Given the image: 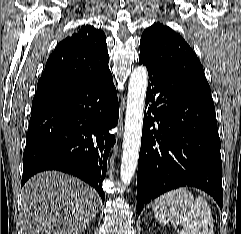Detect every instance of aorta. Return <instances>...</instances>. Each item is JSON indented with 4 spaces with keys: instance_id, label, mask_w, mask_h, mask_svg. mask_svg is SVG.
<instances>
[{
    "instance_id": "aorta-1",
    "label": "aorta",
    "mask_w": 241,
    "mask_h": 234,
    "mask_svg": "<svg viewBox=\"0 0 241 234\" xmlns=\"http://www.w3.org/2000/svg\"><path fill=\"white\" fill-rule=\"evenodd\" d=\"M147 84L146 67L138 66L133 69L129 78L120 167L121 181L125 185L130 184L138 164Z\"/></svg>"
}]
</instances>
